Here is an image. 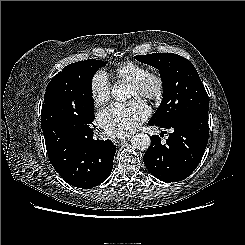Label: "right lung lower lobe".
<instances>
[{"label":"right lung lower lobe","mask_w":245,"mask_h":245,"mask_svg":"<svg viewBox=\"0 0 245 245\" xmlns=\"http://www.w3.org/2000/svg\"><path fill=\"white\" fill-rule=\"evenodd\" d=\"M44 138L52 166L67 183L90 189L110 175L116 146L110 140H94L93 129L63 128Z\"/></svg>","instance_id":"1"}]
</instances>
